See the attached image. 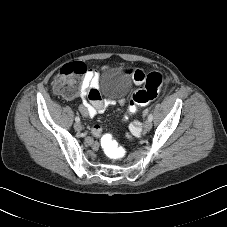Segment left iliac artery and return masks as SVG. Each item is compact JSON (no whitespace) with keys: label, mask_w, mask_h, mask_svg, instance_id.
Masks as SVG:
<instances>
[{"label":"left iliac artery","mask_w":227,"mask_h":227,"mask_svg":"<svg viewBox=\"0 0 227 227\" xmlns=\"http://www.w3.org/2000/svg\"><path fill=\"white\" fill-rule=\"evenodd\" d=\"M148 120H149V121H152V120H153V115H152V113H151V114H149V116H148Z\"/></svg>","instance_id":"obj_1"}]
</instances>
